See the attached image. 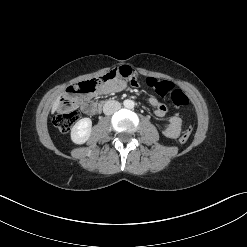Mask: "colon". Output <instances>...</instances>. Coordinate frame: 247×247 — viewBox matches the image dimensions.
I'll list each match as a JSON object with an SVG mask.
<instances>
[{
	"instance_id": "1",
	"label": "colon",
	"mask_w": 247,
	"mask_h": 247,
	"mask_svg": "<svg viewBox=\"0 0 247 247\" xmlns=\"http://www.w3.org/2000/svg\"><path fill=\"white\" fill-rule=\"evenodd\" d=\"M118 76L128 78L136 85V74L123 69H115L100 77L99 82H108ZM147 84L160 96L170 95L173 104L177 107L188 105L187 96L178 88H175L170 82L158 81L149 78ZM97 81L91 80L77 85H73L68 90V95L62 97L58 111L53 116L54 125L61 132H68L79 118V112L76 109V98L79 95L91 94L96 90ZM192 134V126H189L180 137L181 142H186Z\"/></svg>"
}]
</instances>
